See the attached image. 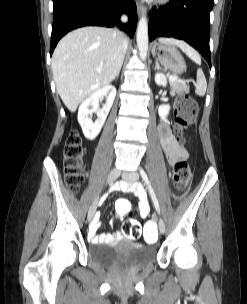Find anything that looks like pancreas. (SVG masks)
<instances>
[{
    "label": "pancreas",
    "mask_w": 247,
    "mask_h": 304,
    "mask_svg": "<svg viewBox=\"0 0 247 304\" xmlns=\"http://www.w3.org/2000/svg\"><path fill=\"white\" fill-rule=\"evenodd\" d=\"M170 85L179 92L189 93V87L184 80L170 81Z\"/></svg>",
    "instance_id": "obj_1"
}]
</instances>
